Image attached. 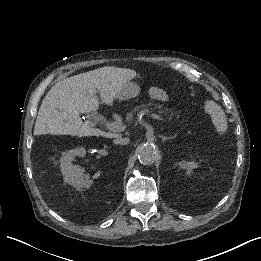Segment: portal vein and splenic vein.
<instances>
[{"label": "portal vein and splenic vein", "instance_id": "obj_1", "mask_svg": "<svg viewBox=\"0 0 261 261\" xmlns=\"http://www.w3.org/2000/svg\"><path fill=\"white\" fill-rule=\"evenodd\" d=\"M151 119H154L155 121L160 122L161 124H166L168 122V119L166 117H163L158 113L151 114ZM108 125L109 128L118 132L124 131L127 127V125L122 122H113L109 123Z\"/></svg>", "mask_w": 261, "mask_h": 261}]
</instances>
